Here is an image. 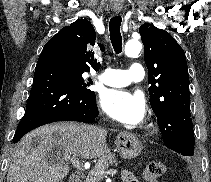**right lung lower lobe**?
<instances>
[{
	"instance_id": "obj_1",
	"label": "right lung lower lobe",
	"mask_w": 211,
	"mask_h": 182,
	"mask_svg": "<svg viewBox=\"0 0 211 182\" xmlns=\"http://www.w3.org/2000/svg\"><path fill=\"white\" fill-rule=\"evenodd\" d=\"M97 116L96 95L82 90L63 51L48 41L38 59L26 111L13 142H18L29 131L47 123H92Z\"/></svg>"
}]
</instances>
